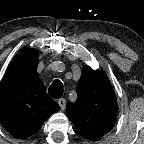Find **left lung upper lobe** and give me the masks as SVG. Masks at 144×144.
<instances>
[{"instance_id": "obj_1", "label": "left lung upper lobe", "mask_w": 144, "mask_h": 144, "mask_svg": "<svg viewBox=\"0 0 144 144\" xmlns=\"http://www.w3.org/2000/svg\"><path fill=\"white\" fill-rule=\"evenodd\" d=\"M117 109L115 92L107 75L86 66L77 86V100L66 106L76 132L90 141L101 139L113 128Z\"/></svg>"}]
</instances>
